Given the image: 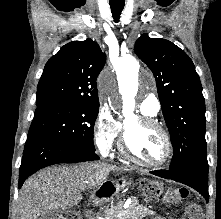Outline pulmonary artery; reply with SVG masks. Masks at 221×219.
Returning a JSON list of instances; mask_svg holds the SVG:
<instances>
[{"label":"pulmonary artery","mask_w":221,"mask_h":219,"mask_svg":"<svg viewBox=\"0 0 221 219\" xmlns=\"http://www.w3.org/2000/svg\"><path fill=\"white\" fill-rule=\"evenodd\" d=\"M140 110L147 115H156L160 110V103L157 97L153 94L146 95L140 104Z\"/></svg>","instance_id":"e3ab8cb5"}]
</instances>
